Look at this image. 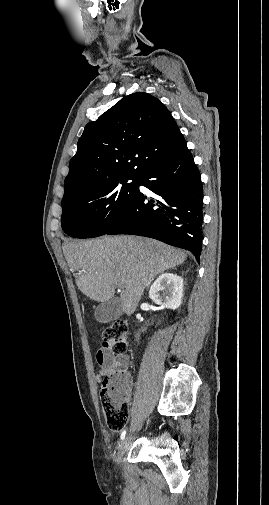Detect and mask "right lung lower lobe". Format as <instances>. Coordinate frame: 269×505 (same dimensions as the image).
Returning <instances> with one entry per match:
<instances>
[{"label":"right lung lower lobe","mask_w":269,"mask_h":505,"mask_svg":"<svg viewBox=\"0 0 269 505\" xmlns=\"http://www.w3.org/2000/svg\"><path fill=\"white\" fill-rule=\"evenodd\" d=\"M140 191L122 218L106 234H134L160 240L191 251L196 260L202 251L203 190L201 175L184 145L147 168Z\"/></svg>","instance_id":"obj_1"}]
</instances>
